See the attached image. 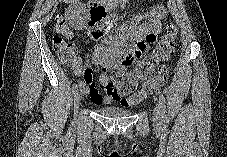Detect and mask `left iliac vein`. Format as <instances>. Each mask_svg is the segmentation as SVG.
Segmentation results:
<instances>
[{"label":"left iliac vein","mask_w":227,"mask_h":157,"mask_svg":"<svg viewBox=\"0 0 227 157\" xmlns=\"http://www.w3.org/2000/svg\"><path fill=\"white\" fill-rule=\"evenodd\" d=\"M161 115H162V112H161L160 104H156L154 111H153L154 121L157 122V123L160 122Z\"/></svg>","instance_id":"4c4485c4"}]
</instances>
